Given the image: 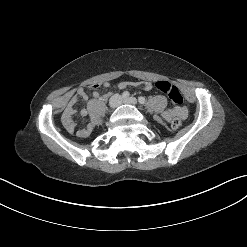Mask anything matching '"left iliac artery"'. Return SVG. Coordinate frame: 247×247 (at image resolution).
<instances>
[{
	"mask_svg": "<svg viewBox=\"0 0 247 247\" xmlns=\"http://www.w3.org/2000/svg\"><path fill=\"white\" fill-rule=\"evenodd\" d=\"M138 101H139L140 104H145V102H146V100H145V98L143 96H140L138 98Z\"/></svg>",
	"mask_w": 247,
	"mask_h": 247,
	"instance_id": "obj_1",
	"label": "left iliac artery"
}]
</instances>
